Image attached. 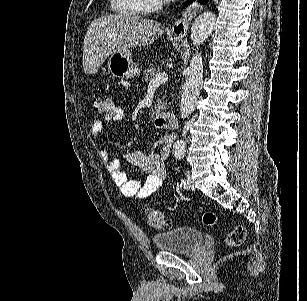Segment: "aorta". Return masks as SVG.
<instances>
[{"label":"aorta","mask_w":307,"mask_h":301,"mask_svg":"<svg viewBox=\"0 0 307 301\" xmlns=\"http://www.w3.org/2000/svg\"><path fill=\"white\" fill-rule=\"evenodd\" d=\"M216 22V16L211 10H206L199 14L195 18L191 26V40L195 46H200L214 30ZM203 78V60L201 52H195L193 54L190 64L187 68V76L183 86V92L180 102V116L181 118H187L191 112H193L197 98L200 92V86ZM184 140H176L173 144L174 153H184L185 151Z\"/></svg>","instance_id":"762f6f07"}]
</instances>
